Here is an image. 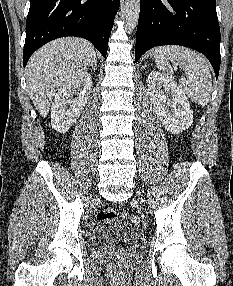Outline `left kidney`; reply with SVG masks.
Here are the masks:
<instances>
[{
	"label": "left kidney",
	"instance_id": "left-kidney-1",
	"mask_svg": "<svg viewBox=\"0 0 233 286\" xmlns=\"http://www.w3.org/2000/svg\"><path fill=\"white\" fill-rule=\"evenodd\" d=\"M147 83L154 111L165 129L172 134L188 129L193 123V111L182 88L158 71L149 74Z\"/></svg>",
	"mask_w": 233,
	"mask_h": 286
}]
</instances>
